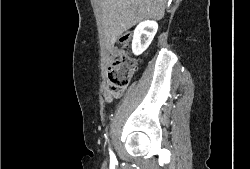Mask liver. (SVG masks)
<instances>
[{
	"label": "liver",
	"mask_w": 250,
	"mask_h": 169,
	"mask_svg": "<svg viewBox=\"0 0 250 169\" xmlns=\"http://www.w3.org/2000/svg\"><path fill=\"white\" fill-rule=\"evenodd\" d=\"M106 46H114L118 36L144 18H162L167 0H97Z\"/></svg>",
	"instance_id": "obj_1"
}]
</instances>
